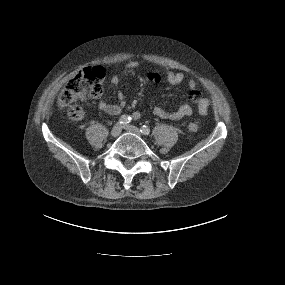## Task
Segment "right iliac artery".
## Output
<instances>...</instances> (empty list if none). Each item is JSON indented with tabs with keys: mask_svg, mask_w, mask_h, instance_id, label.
I'll return each instance as SVG.
<instances>
[{
	"mask_svg": "<svg viewBox=\"0 0 285 285\" xmlns=\"http://www.w3.org/2000/svg\"><path fill=\"white\" fill-rule=\"evenodd\" d=\"M131 122V117L128 115H122L119 119L120 124H128Z\"/></svg>",
	"mask_w": 285,
	"mask_h": 285,
	"instance_id": "82829eb1",
	"label": "right iliac artery"
}]
</instances>
